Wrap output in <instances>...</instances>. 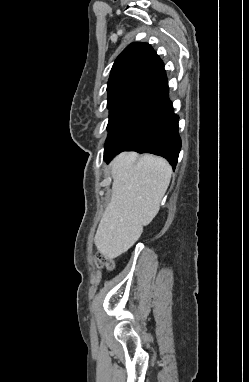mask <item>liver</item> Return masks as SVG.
<instances>
[{
    "label": "liver",
    "mask_w": 249,
    "mask_h": 382,
    "mask_svg": "<svg viewBox=\"0 0 249 382\" xmlns=\"http://www.w3.org/2000/svg\"><path fill=\"white\" fill-rule=\"evenodd\" d=\"M172 168L154 155L123 152L112 164V197L99 223L95 245L105 259L126 252L151 223L169 186Z\"/></svg>",
    "instance_id": "obj_1"
}]
</instances>
